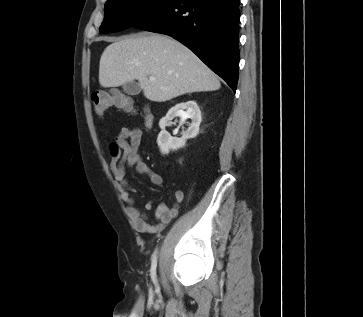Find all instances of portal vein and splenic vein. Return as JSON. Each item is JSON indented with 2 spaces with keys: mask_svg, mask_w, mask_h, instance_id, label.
Returning <instances> with one entry per match:
<instances>
[{
  "mask_svg": "<svg viewBox=\"0 0 363 317\" xmlns=\"http://www.w3.org/2000/svg\"><path fill=\"white\" fill-rule=\"evenodd\" d=\"M149 80H150V81H155V80H156V78H155V77L150 76V77H149Z\"/></svg>",
  "mask_w": 363,
  "mask_h": 317,
  "instance_id": "18ae733b",
  "label": "portal vein and splenic vein"
}]
</instances>
